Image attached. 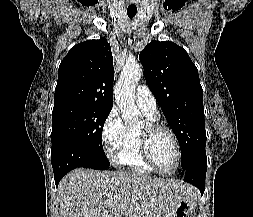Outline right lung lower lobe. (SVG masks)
Listing matches in <instances>:
<instances>
[{
	"mask_svg": "<svg viewBox=\"0 0 253 217\" xmlns=\"http://www.w3.org/2000/svg\"><path fill=\"white\" fill-rule=\"evenodd\" d=\"M51 163L56 186H58L59 181L65 174L77 167L92 168L96 170L108 169L107 166L100 164L87 149L75 145L63 146L52 151Z\"/></svg>",
	"mask_w": 253,
	"mask_h": 217,
	"instance_id": "1",
	"label": "right lung lower lobe"
}]
</instances>
